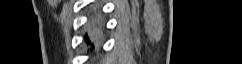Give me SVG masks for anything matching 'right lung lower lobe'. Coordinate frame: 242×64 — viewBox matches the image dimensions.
<instances>
[{"label": "right lung lower lobe", "instance_id": "obj_1", "mask_svg": "<svg viewBox=\"0 0 242 64\" xmlns=\"http://www.w3.org/2000/svg\"><path fill=\"white\" fill-rule=\"evenodd\" d=\"M101 25H102L101 17L99 15L94 16V18L88 24V41L89 39L94 42L99 41Z\"/></svg>", "mask_w": 242, "mask_h": 64}]
</instances>
